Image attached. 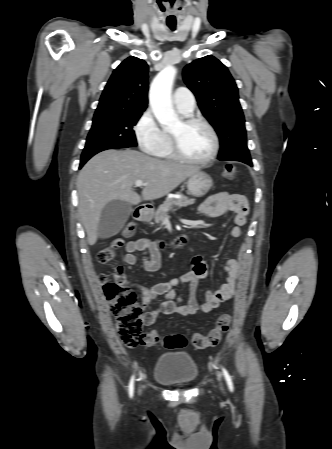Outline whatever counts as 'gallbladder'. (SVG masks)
Returning a JSON list of instances; mask_svg holds the SVG:
<instances>
[{"label": "gallbladder", "instance_id": "bac80fb5", "mask_svg": "<svg viewBox=\"0 0 332 449\" xmlns=\"http://www.w3.org/2000/svg\"><path fill=\"white\" fill-rule=\"evenodd\" d=\"M132 207L128 202L113 200L102 209L97 227V234L101 238H109L118 234L127 222Z\"/></svg>", "mask_w": 332, "mask_h": 449}]
</instances>
